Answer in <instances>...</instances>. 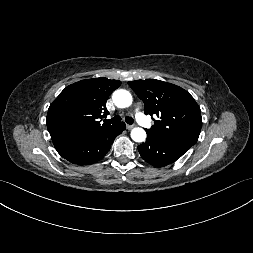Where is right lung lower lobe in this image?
<instances>
[{
  "mask_svg": "<svg viewBox=\"0 0 253 253\" xmlns=\"http://www.w3.org/2000/svg\"><path fill=\"white\" fill-rule=\"evenodd\" d=\"M125 129V123L121 122L108 129L56 148V150L63 158L73 164H93L106 155L116 136Z\"/></svg>",
  "mask_w": 253,
  "mask_h": 253,
  "instance_id": "right-lung-lower-lobe-1",
  "label": "right lung lower lobe"
}]
</instances>
